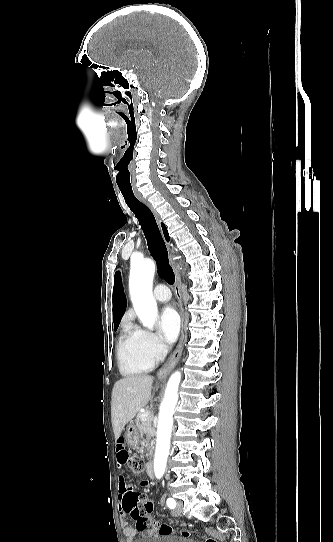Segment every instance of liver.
Listing matches in <instances>:
<instances>
[{
	"label": "liver",
	"instance_id": "obj_1",
	"mask_svg": "<svg viewBox=\"0 0 333 542\" xmlns=\"http://www.w3.org/2000/svg\"><path fill=\"white\" fill-rule=\"evenodd\" d=\"M152 384L153 376L145 374L124 376L114 384L111 416L115 440L120 438L122 430L135 418L137 412L152 400Z\"/></svg>",
	"mask_w": 333,
	"mask_h": 542
}]
</instances>
